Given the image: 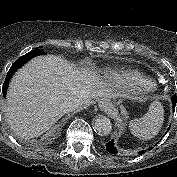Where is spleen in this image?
Wrapping results in <instances>:
<instances>
[{"mask_svg": "<svg viewBox=\"0 0 177 177\" xmlns=\"http://www.w3.org/2000/svg\"><path fill=\"white\" fill-rule=\"evenodd\" d=\"M164 120V109L159 101H153L147 113L129 122L131 133L142 139L154 138L160 131Z\"/></svg>", "mask_w": 177, "mask_h": 177, "instance_id": "1", "label": "spleen"}]
</instances>
